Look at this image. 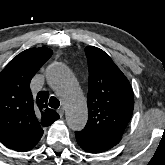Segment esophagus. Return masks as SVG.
Listing matches in <instances>:
<instances>
[{
  "label": "esophagus",
  "instance_id": "1",
  "mask_svg": "<svg viewBox=\"0 0 165 165\" xmlns=\"http://www.w3.org/2000/svg\"><path fill=\"white\" fill-rule=\"evenodd\" d=\"M58 114L60 115V117H62L64 115V109L63 108H59L57 110Z\"/></svg>",
  "mask_w": 165,
  "mask_h": 165
}]
</instances>
